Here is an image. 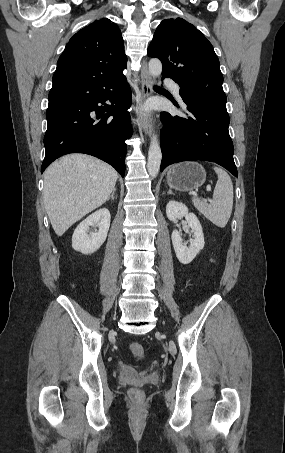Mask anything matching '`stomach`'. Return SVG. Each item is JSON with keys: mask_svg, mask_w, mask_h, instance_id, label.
<instances>
[{"mask_svg": "<svg viewBox=\"0 0 285 453\" xmlns=\"http://www.w3.org/2000/svg\"><path fill=\"white\" fill-rule=\"evenodd\" d=\"M206 180L203 166L197 162H182L172 166L167 172V184L178 191H192Z\"/></svg>", "mask_w": 285, "mask_h": 453, "instance_id": "obj_1", "label": "stomach"}]
</instances>
